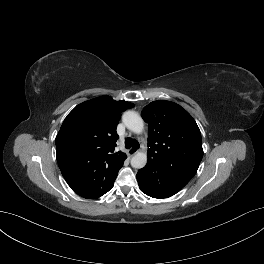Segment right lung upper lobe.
<instances>
[{
  "label": "right lung upper lobe",
  "mask_w": 264,
  "mask_h": 264,
  "mask_svg": "<svg viewBox=\"0 0 264 264\" xmlns=\"http://www.w3.org/2000/svg\"><path fill=\"white\" fill-rule=\"evenodd\" d=\"M134 107L127 101L101 96L77 105L56 137L59 168L78 195L96 199L114 185L126 154L115 151L121 113Z\"/></svg>",
  "instance_id": "cb5924a9"
}]
</instances>
